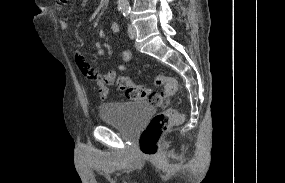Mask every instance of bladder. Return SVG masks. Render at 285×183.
I'll return each instance as SVG.
<instances>
[{
	"label": "bladder",
	"instance_id": "obj_1",
	"mask_svg": "<svg viewBox=\"0 0 285 183\" xmlns=\"http://www.w3.org/2000/svg\"><path fill=\"white\" fill-rule=\"evenodd\" d=\"M155 114L147 103H107L99 110L101 121L119 126L126 133H135Z\"/></svg>",
	"mask_w": 285,
	"mask_h": 183
}]
</instances>
